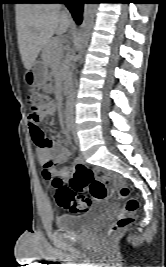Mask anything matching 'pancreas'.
Returning <instances> with one entry per match:
<instances>
[{
  "label": "pancreas",
  "instance_id": "cf45deb5",
  "mask_svg": "<svg viewBox=\"0 0 166 267\" xmlns=\"http://www.w3.org/2000/svg\"><path fill=\"white\" fill-rule=\"evenodd\" d=\"M64 49L62 41L58 38H53L45 45L42 51L43 61L51 67H58L61 77L65 76L67 72V62L61 61V54Z\"/></svg>",
  "mask_w": 166,
  "mask_h": 267
}]
</instances>
